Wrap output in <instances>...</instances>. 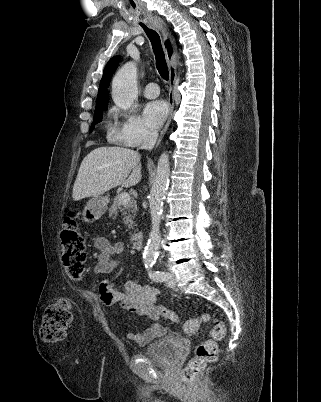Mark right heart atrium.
Here are the masks:
<instances>
[{
	"label": "right heart atrium",
	"instance_id": "1",
	"mask_svg": "<svg viewBox=\"0 0 321 402\" xmlns=\"http://www.w3.org/2000/svg\"><path fill=\"white\" fill-rule=\"evenodd\" d=\"M114 124L110 139L128 147H140L151 143L156 134L133 111H126L117 106L110 110Z\"/></svg>",
	"mask_w": 321,
	"mask_h": 402
}]
</instances>
